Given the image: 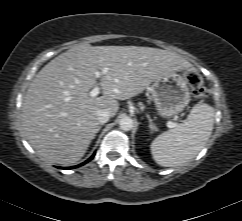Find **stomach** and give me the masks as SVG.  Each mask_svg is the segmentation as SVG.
<instances>
[{"label":"stomach","mask_w":242,"mask_h":221,"mask_svg":"<svg viewBox=\"0 0 242 221\" xmlns=\"http://www.w3.org/2000/svg\"><path fill=\"white\" fill-rule=\"evenodd\" d=\"M149 90L162 118L179 114L190 102L186 73L163 75L152 82Z\"/></svg>","instance_id":"1"}]
</instances>
